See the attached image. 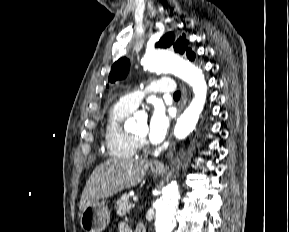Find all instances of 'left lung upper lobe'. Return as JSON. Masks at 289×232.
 <instances>
[{
	"mask_svg": "<svg viewBox=\"0 0 289 232\" xmlns=\"http://www.w3.org/2000/svg\"><path fill=\"white\" fill-rule=\"evenodd\" d=\"M155 46L160 48H168L170 46H173L175 52H178L180 54H186L189 60L195 59V54L188 47V41L186 40L184 35L182 37L176 38L174 33H166L160 38V40L156 43ZM129 68V59L122 57L117 60L111 68V72L108 77L109 82L114 83L117 80L125 79L128 75Z\"/></svg>",
	"mask_w": 289,
	"mask_h": 232,
	"instance_id": "5c2ea615",
	"label": "left lung upper lobe"
}]
</instances>
